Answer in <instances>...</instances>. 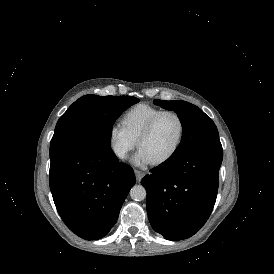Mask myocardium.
I'll use <instances>...</instances> for the list:
<instances>
[{
	"mask_svg": "<svg viewBox=\"0 0 274 274\" xmlns=\"http://www.w3.org/2000/svg\"><path fill=\"white\" fill-rule=\"evenodd\" d=\"M167 114H171L178 119L179 132H178L177 138L175 140L174 146L171 149V151L162 159L151 162L150 164L152 166H162V165L168 163L169 161H171L173 159V157L178 152L179 147L182 142V139H183V136H184V132H185V123H184L183 117L177 111L172 110V109L160 111L155 117H153L148 122V124L141 130V132L138 134V136L135 139L136 148H138L140 142L152 132V130L154 129V127L156 126V124L158 123L160 118Z\"/></svg>",
	"mask_w": 274,
	"mask_h": 274,
	"instance_id": "1",
	"label": "myocardium"
}]
</instances>
